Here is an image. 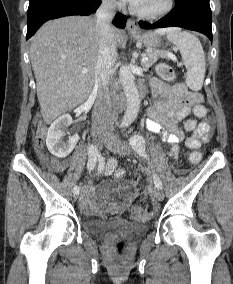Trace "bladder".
Segmentation results:
<instances>
[{
	"instance_id": "obj_1",
	"label": "bladder",
	"mask_w": 233,
	"mask_h": 284,
	"mask_svg": "<svg viewBox=\"0 0 233 284\" xmlns=\"http://www.w3.org/2000/svg\"><path fill=\"white\" fill-rule=\"evenodd\" d=\"M135 189L125 180H112L96 187L85 196L92 203V198L101 205H120L133 200ZM84 231L90 236L103 238L113 232L125 231L141 235L148 230L147 223H134L120 218H88L83 222Z\"/></svg>"
}]
</instances>
